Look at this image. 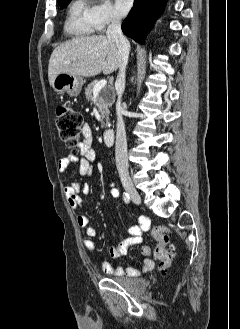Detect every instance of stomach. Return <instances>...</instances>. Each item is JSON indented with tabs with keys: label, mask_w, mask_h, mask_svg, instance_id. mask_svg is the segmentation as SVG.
Returning <instances> with one entry per match:
<instances>
[{
	"label": "stomach",
	"mask_w": 240,
	"mask_h": 329,
	"mask_svg": "<svg viewBox=\"0 0 240 329\" xmlns=\"http://www.w3.org/2000/svg\"><path fill=\"white\" fill-rule=\"evenodd\" d=\"M51 86L58 94L67 93L69 96L75 97L82 89L83 79L80 76L60 73L55 77Z\"/></svg>",
	"instance_id": "1"
}]
</instances>
